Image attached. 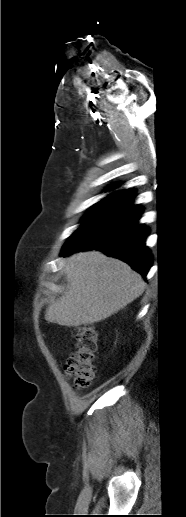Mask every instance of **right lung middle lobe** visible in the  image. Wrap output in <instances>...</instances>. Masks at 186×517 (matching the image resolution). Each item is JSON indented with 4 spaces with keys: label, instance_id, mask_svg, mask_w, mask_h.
Returning <instances> with one entry per match:
<instances>
[{
    "label": "right lung middle lobe",
    "instance_id": "1",
    "mask_svg": "<svg viewBox=\"0 0 186 517\" xmlns=\"http://www.w3.org/2000/svg\"><path fill=\"white\" fill-rule=\"evenodd\" d=\"M114 205V203L108 201H100L97 204L93 205L91 209L88 211L86 219L84 220V223L79 228V230L91 223L92 221L96 220L98 217L103 215L108 209H110Z\"/></svg>",
    "mask_w": 186,
    "mask_h": 517
}]
</instances>
